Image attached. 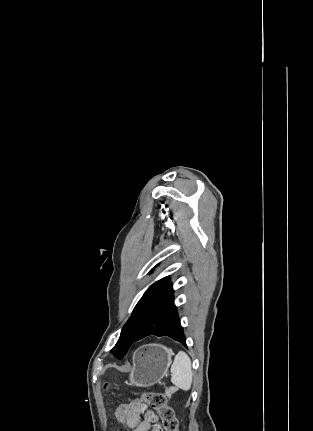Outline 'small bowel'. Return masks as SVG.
I'll use <instances>...</instances> for the list:
<instances>
[{
	"instance_id": "obj_1",
	"label": "small bowel",
	"mask_w": 313,
	"mask_h": 431,
	"mask_svg": "<svg viewBox=\"0 0 313 431\" xmlns=\"http://www.w3.org/2000/svg\"><path fill=\"white\" fill-rule=\"evenodd\" d=\"M120 423L133 431H149L151 425H156L158 416L144 404L133 402L121 405L116 411Z\"/></svg>"
}]
</instances>
